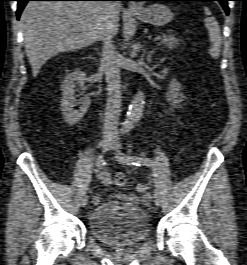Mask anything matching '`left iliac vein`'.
<instances>
[{
  "label": "left iliac vein",
  "instance_id": "obj_1",
  "mask_svg": "<svg viewBox=\"0 0 247 265\" xmlns=\"http://www.w3.org/2000/svg\"><path fill=\"white\" fill-rule=\"evenodd\" d=\"M120 148H121V144L119 142L115 141L114 145H113V147L111 149H113L116 152H119ZM160 201H161L160 200V194H159V192L155 191L154 192V203H155V205L159 206L160 205Z\"/></svg>",
  "mask_w": 247,
  "mask_h": 265
}]
</instances>
